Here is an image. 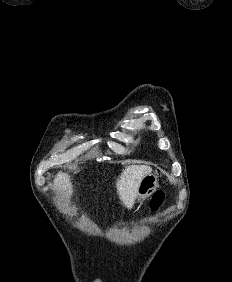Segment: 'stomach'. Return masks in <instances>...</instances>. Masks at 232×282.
Returning <instances> with one entry per match:
<instances>
[{
	"label": "stomach",
	"instance_id": "stomach-1",
	"mask_svg": "<svg viewBox=\"0 0 232 282\" xmlns=\"http://www.w3.org/2000/svg\"><path fill=\"white\" fill-rule=\"evenodd\" d=\"M158 187V176L154 173L147 174L140 183L137 200L139 202L144 201L150 197Z\"/></svg>",
	"mask_w": 232,
	"mask_h": 282
}]
</instances>
